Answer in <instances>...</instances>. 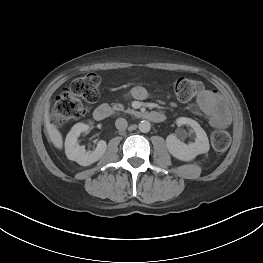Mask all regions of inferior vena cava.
I'll list each match as a JSON object with an SVG mask.
<instances>
[{
	"label": "inferior vena cava",
	"mask_w": 263,
	"mask_h": 263,
	"mask_svg": "<svg viewBox=\"0 0 263 263\" xmlns=\"http://www.w3.org/2000/svg\"><path fill=\"white\" fill-rule=\"evenodd\" d=\"M115 126L116 128L119 130V131H124L127 126H128V123L126 121V119L124 118H118L115 122Z\"/></svg>",
	"instance_id": "inferior-vena-cava-1"
}]
</instances>
